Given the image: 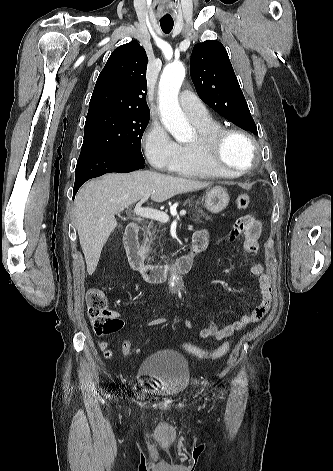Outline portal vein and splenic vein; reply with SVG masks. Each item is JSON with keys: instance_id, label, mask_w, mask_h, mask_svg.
Segmentation results:
<instances>
[{"instance_id": "1", "label": "portal vein and splenic vein", "mask_w": 333, "mask_h": 471, "mask_svg": "<svg viewBox=\"0 0 333 471\" xmlns=\"http://www.w3.org/2000/svg\"><path fill=\"white\" fill-rule=\"evenodd\" d=\"M151 193H147L135 206L134 208V214L138 215V216H141V217H145V218H150V219H154V220H158L162 223H167L169 221V216L167 215V213L165 212H162V211H158V210H155V209H151V208H143L141 205L143 202H145L149 197H150ZM186 214V211L185 210H181L180 211V215L181 216H184Z\"/></svg>"}]
</instances>
